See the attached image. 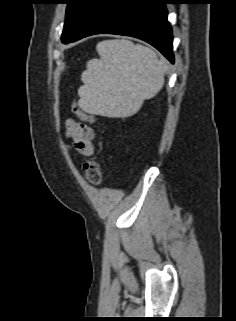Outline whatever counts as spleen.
<instances>
[{"label":"spleen","instance_id":"1","mask_svg":"<svg viewBox=\"0 0 236 321\" xmlns=\"http://www.w3.org/2000/svg\"><path fill=\"white\" fill-rule=\"evenodd\" d=\"M96 48L100 59L88 62L82 73L84 85L78 89L83 111L130 116L162 88L167 63L152 49L124 39L102 41Z\"/></svg>","mask_w":236,"mask_h":321}]
</instances>
